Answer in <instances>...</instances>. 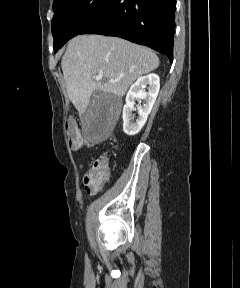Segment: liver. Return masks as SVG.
<instances>
[{
  "mask_svg": "<svg viewBox=\"0 0 240 288\" xmlns=\"http://www.w3.org/2000/svg\"><path fill=\"white\" fill-rule=\"evenodd\" d=\"M61 66L68 96L83 114L95 91L123 97L136 79L158 68L159 58L118 37L79 35L68 44ZM99 74L103 80L95 81Z\"/></svg>",
  "mask_w": 240,
  "mask_h": 288,
  "instance_id": "1",
  "label": "liver"
}]
</instances>
